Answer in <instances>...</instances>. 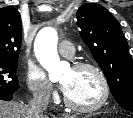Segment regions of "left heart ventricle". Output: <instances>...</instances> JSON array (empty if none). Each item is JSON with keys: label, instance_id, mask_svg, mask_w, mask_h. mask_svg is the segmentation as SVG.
<instances>
[{"label": "left heart ventricle", "instance_id": "left-heart-ventricle-1", "mask_svg": "<svg viewBox=\"0 0 133 118\" xmlns=\"http://www.w3.org/2000/svg\"><path fill=\"white\" fill-rule=\"evenodd\" d=\"M61 82L67 85L65 95L75 105L89 106L96 103L101 97L100 81L91 70L70 68L61 77Z\"/></svg>", "mask_w": 133, "mask_h": 118}]
</instances>
